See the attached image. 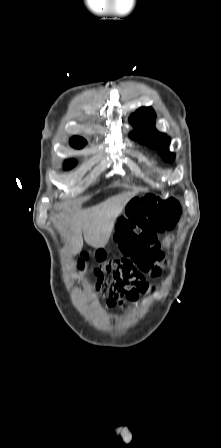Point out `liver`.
<instances>
[{
    "label": "liver",
    "instance_id": "1",
    "mask_svg": "<svg viewBox=\"0 0 221 448\" xmlns=\"http://www.w3.org/2000/svg\"><path fill=\"white\" fill-rule=\"evenodd\" d=\"M135 195L136 193L120 194L66 217L65 223L70 228L66 239L72 246L71 253L76 254L82 249L81 231L88 245L94 248L105 247L114 229L116 218Z\"/></svg>",
    "mask_w": 221,
    "mask_h": 448
}]
</instances>
